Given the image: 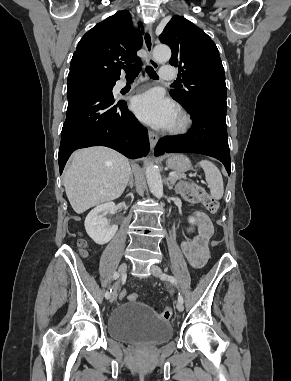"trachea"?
<instances>
[{
	"label": "trachea",
	"mask_w": 291,
	"mask_h": 381,
	"mask_svg": "<svg viewBox=\"0 0 291 381\" xmlns=\"http://www.w3.org/2000/svg\"><path fill=\"white\" fill-rule=\"evenodd\" d=\"M126 77L128 78H135L138 76L141 67L139 65H126L124 66ZM146 72L149 75L151 79L157 80L159 77L157 73L154 71V69L151 66L146 67Z\"/></svg>",
	"instance_id": "trachea-1"
}]
</instances>
